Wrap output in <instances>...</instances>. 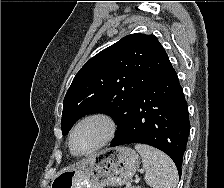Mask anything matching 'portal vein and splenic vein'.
<instances>
[{
    "instance_id": "1",
    "label": "portal vein and splenic vein",
    "mask_w": 224,
    "mask_h": 188,
    "mask_svg": "<svg viewBox=\"0 0 224 188\" xmlns=\"http://www.w3.org/2000/svg\"><path fill=\"white\" fill-rule=\"evenodd\" d=\"M139 181H140V178L139 177H136L135 182L138 183ZM126 186H127V188H130L131 183H127Z\"/></svg>"
}]
</instances>
